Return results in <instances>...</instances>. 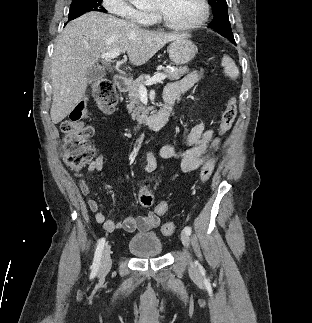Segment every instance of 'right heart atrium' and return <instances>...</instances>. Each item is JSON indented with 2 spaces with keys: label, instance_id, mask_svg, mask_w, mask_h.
<instances>
[{
  "label": "right heart atrium",
  "instance_id": "d8ad5b80",
  "mask_svg": "<svg viewBox=\"0 0 312 323\" xmlns=\"http://www.w3.org/2000/svg\"><path fill=\"white\" fill-rule=\"evenodd\" d=\"M107 6L105 13H117L118 17H124L125 22H143L144 10L135 6V2L129 0H105Z\"/></svg>",
  "mask_w": 312,
  "mask_h": 323
}]
</instances>
